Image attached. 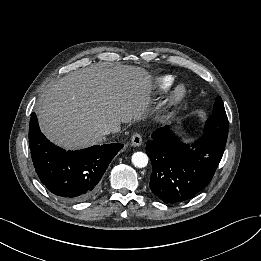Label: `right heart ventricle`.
Here are the masks:
<instances>
[{"mask_svg":"<svg viewBox=\"0 0 261 261\" xmlns=\"http://www.w3.org/2000/svg\"><path fill=\"white\" fill-rule=\"evenodd\" d=\"M175 82V77L172 75H164L156 79L155 87L160 91L169 90Z\"/></svg>","mask_w":261,"mask_h":261,"instance_id":"e07e8e85","label":"right heart ventricle"}]
</instances>
